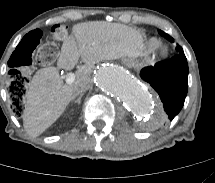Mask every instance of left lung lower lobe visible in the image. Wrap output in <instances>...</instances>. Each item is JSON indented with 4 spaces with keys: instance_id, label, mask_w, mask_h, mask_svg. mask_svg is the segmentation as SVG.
<instances>
[{
    "instance_id": "1",
    "label": "left lung lower lobe",
    "mask_w": 215,
    "mask_h": 183,
    "mask_svg": "<svg viewBox=\"0 0 215 183\" xmlns=\"http://www.w3.org/2000/svg\"><path fill=\"white\" fill-rule=\"evenodd\" d=\"M140 76L159 94L166 118L172 120L182 109L188 89V64L184 53L145 67Z\"/></svg>"
}]
</instances>
